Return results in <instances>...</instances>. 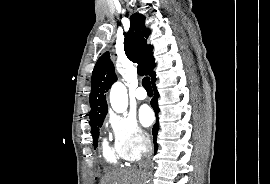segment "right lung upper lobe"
Wrapping results in <instances>:
<instances>
[{"label": "right lung upper lobe", "mask_w": 270, "mask_h": 184, "mask_svg": "<svg viewBox=\"0 0 270 184\" xmlns=\"http://www.w3.org/2000/svg\"><path fill=\"white\" fill-rule=\"evenodd\" d=\"M145 16L135 13L130 17V29L124 39L125 54L132 62L138 63L137 71L140 75H149L154 79L155 60L152 54L153 47L147 45L150 30L144 24ZM117 80L114 65L110 60L109 52H105L97 61L92 72L89 114L90 125L104 121L107 114L105 93Z\"/></svg>", "instance_id": "cb5924a9"}]
</instances>
